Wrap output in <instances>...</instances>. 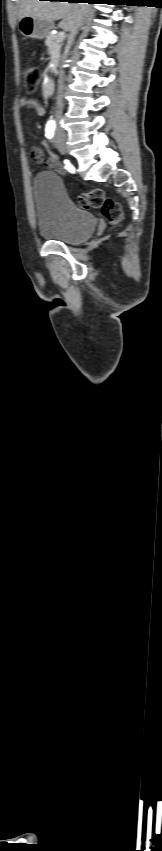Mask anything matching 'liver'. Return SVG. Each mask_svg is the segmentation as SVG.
Here are the masks:
<instances>
[{"mask_svg": "<svg viewBox=\"0 0 162 851\" xmlns=\"http://www.w3.org/2000/svg\"><path fill=\"white\" fill-rule=\"evenodd\" d=\"M83 8L89 13L90 6L84 3L21 0L19 19L25 16L49 22L62 19L59 24L60 27L65 31L71 32L79 25V17Z\"/></svg>", "mask_w": 162, "mask_h": 851, "instance_id": "liver-1", "label": "liver"}]
</instances>
